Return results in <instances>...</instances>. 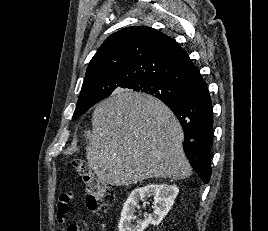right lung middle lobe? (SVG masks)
Returning a JSON list of instances; mask_svg holds the SVG:
<instances>
[{
	"instance_id": "obj_1",
	"label": "right lung middle lobe",
	"mask_w": 268,
	"mask_h": 231,
	"mask_svg": "<svg viewBox=\"0 0 268 231\" xmlns=\"http://www.w3.org/2000/svg\"><path fill=\"white\" fill-rule=\"evenodd\" d=\"M131 89L137 92L153 95L160 100L179 99L185 93L183 89L176 88L159 81L142 82ZM93 105V103L78 102L73 115V120L83 115Z\"/></svg>"
}]
</instances>
